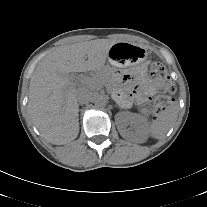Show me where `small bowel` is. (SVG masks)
Returning a JSON list of instances; mask_svg holds the SVG:
<instances>
[{"instance_id": "obj_1", "label": "small bowel", "mask_w": 207, "mask_h": 207, "mask_svg": "<svg viewBox=\"0 0 207 207\" xmlns=\"http://www.w3.org/2000/svg\"><path fill=\"white\" fill-rule=\"evenodd\" d=\"M139 82L140 86L138 90L126 89L118 94L119 98L128 102L130 99L136 97L139 102H145L156 91V86L142 72L139 74Z\"/></svg>"}]
</instances>
